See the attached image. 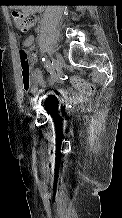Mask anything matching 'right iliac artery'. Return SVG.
<instances>
[{"instance_id": "right-iliac-artery-1", "label": "right iliac artery", "mask_w": 122, "mask_h": 218, "mask_svg": "<svg viewBox=\"0 0 122 218\" xmlns=\"http://www.w3.org/2000/svg\"><path fill=\"white\" fill-rule=\"evenodd\" d=\"M42 60L45 61V58H43ZM46 67L48 68V70H49L50 72H53V71H54V64H53V62L46 61Z\"/></svg>"}]
</instances>
